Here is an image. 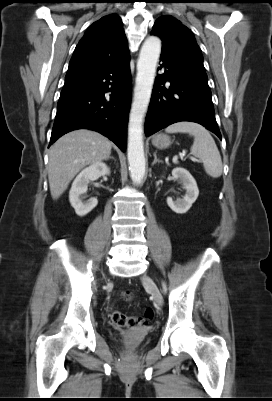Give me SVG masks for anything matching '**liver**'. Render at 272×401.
Masks as SVG:
<instances>
[{
  "mask_svg": "<svg viewBox=\"0 0 272 401\" xmlns=\"http://www.w3.org/2000/svg\"><path fill=\"white\" fill-rule=\"evenodd\" d=\"M111 149V141L87 129L71 131L59 138L49 152L48 179L52 198H59L82 168L106 160Z\"/></svg>",
  "mask_w": 272,
  "mask_h": 401,
  "instance_id": "obj_1",
  "label": "liver"
}]
</instances>
